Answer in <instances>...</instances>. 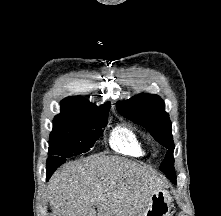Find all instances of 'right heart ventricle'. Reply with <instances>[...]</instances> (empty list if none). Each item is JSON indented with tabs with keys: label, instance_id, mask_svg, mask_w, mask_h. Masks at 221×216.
Here are the masks:
<instances>
[{
	"label": "right heart ventricle",
	"instance_id": "e07e8e85",
	"mask_svg": "<svg viewBox=\"0 0 221 216\" xmlns=\"http://www.w3.org/2000/svg\"><path fill=\"white\" fill-rule=\"evenodd\" d=\"M109 144L117 152L141 156L146 153V147L138 132L131 126L122 124L116 126L109 135Z\"/></svg>",
	"mask_w": 221,
	"mask_h": 216
}]
</instances>
